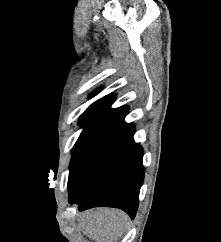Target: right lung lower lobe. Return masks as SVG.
Returning a JSON list of instances; mask_svg holds the SVG:
<instances>
[{
    "label": "right lung lower lobe",
    "mask_w": 221,
    "mask_h": 242,
    "mask_svg": "<svg viewBox=\"0 0 221 242\" xmlns=\"http://www.w3.org/2000/svg\"><path fill=\"white\" fill-rule=\"evenodd\" d=\"M127 112L96 129L79 147L70 164L69 203L79 211L116 207L135 217L144 179L143 149L135 143Z\"/></svg>",
    "instance_id": "1"
}]
</instances>
